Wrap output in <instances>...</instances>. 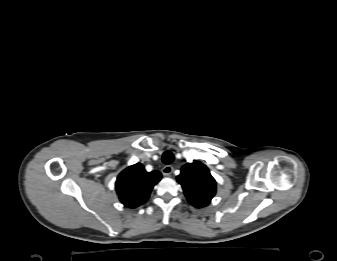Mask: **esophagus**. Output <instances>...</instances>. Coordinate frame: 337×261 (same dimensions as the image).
<instances>
[{"label":"esophagus","mask_w":337,"mask_h":261,"mask_svg":"<svg viewBox=\"0 0 337 261\" xmlns=\"http://www.w3.org/2000/svg\"><path fill=\"white\" fill-rule=\"evenodd\" d=\"M174 168L171 166V165H165L163 168H162V174L164 176H170L171 173L173 172Z\"/></svg>","instance_id":"34e87169"}]
</instances>
